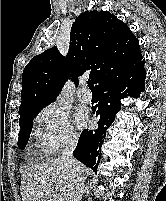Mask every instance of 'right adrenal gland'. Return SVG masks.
<instances>
[{
    "label": "right adrenal gland",
    "mask_w": 166,
    "mask_h": 201,
    "mask_svg": "<svg viewBox=\"0 0 166 201\" xmlns=\"http://www.w3.org/2000/svg\"><path fill=\"white\" fill-rule=\"evenodd\" d=\"M86 193H88V188L85 189Z\"/></svg>",
    "instance_id": "right-adrenal-gland-1"
}]
</instances>
